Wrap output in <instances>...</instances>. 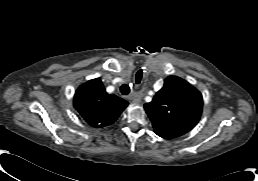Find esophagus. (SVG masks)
I'll list each match as a JSON object with an SVG mask.
<instances>
[{
  "label": "esophagus",
  "instance_id": "34e87169",
  "mask_svg": "<svg viewBox=\"0 0 258 181\" xmlns=\"http://www.w3.org/2000/svg\"><path fill=\"white\" fill-rule=\"evenodd\" d=\"M129 99L134 103H140L141 97L137 93H133L129 96Z\"/></svg>",
  "mask_w": 258,
  "mask_h": 181
}]
</instances>
